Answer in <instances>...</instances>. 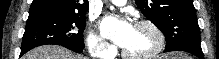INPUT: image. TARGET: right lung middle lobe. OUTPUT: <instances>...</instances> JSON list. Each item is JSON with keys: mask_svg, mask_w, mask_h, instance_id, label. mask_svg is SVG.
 <instances>
[{"mask_svg": "<svg viewBox=\"0 0 219 59\" xmlns=\"http://www.w3.org/2000/svg\"><path fill=\"white\" fill-rule=\"evenodd\" d=\"M84 14L30 12L22 39L21 53L41 45L84 48Z\"/></svg>", "mask_w": 219, "mask_h": 59, "instance_id": "right-lung-middle-lobe-1", "label": "right lung middle lobe"}]
</instances>
